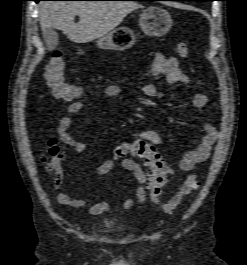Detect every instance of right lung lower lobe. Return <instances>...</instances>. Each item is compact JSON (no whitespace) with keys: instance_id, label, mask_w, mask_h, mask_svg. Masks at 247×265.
Masks as SVG:
<instances>
[{"instance_id":"right-lung-lower-lobe-1","label":"right lung lower lobe","mask_w":247,"mask_h":265,"mask_svg":"<svg viewBox=\"0 0 247 265\" xmlns=\"http://www.w3.org/2000/svg\"><path fill=\"white\" fill-rule=\"evenodd\" d=\"M34 1L39 2V1H41V0H34Z\"/></svg>"}]
</instances>
